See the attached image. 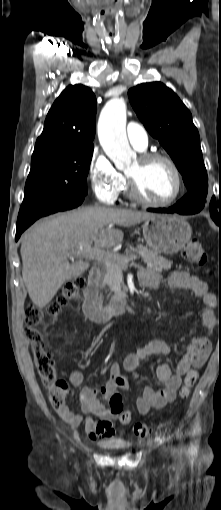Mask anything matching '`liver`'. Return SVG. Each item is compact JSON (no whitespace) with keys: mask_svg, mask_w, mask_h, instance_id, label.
Masks as SVG:
<instances>
[{"mask_svg":"<svg viewBox=\"0 0 221 510\" xmlns=\"http://www.w3.org/2000/svg\"><path fill=\"white\" fill-rule=\"evenodd\" d=\"M155 214L110 207H84L38 221L22 236V277L32 302L48 305L61 286L89 268V247L109 249L123 239L114 225L129 227ZM82 247L83 250L78 249ZM75 257L79 260L70 263Z\"/></svg>","mask_w":221,"mask_h":510,"instance_id":"1","label":"liver"}]
</instances>
